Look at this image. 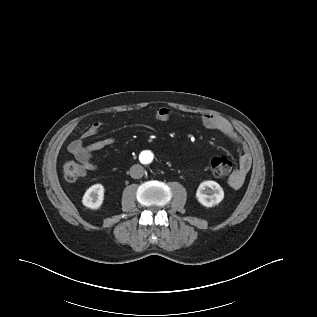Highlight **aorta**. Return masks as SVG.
Returning a JSON list of instances; mask_svg holds the SVG:
<instances>
[{"label":"aorta","mask_w":317,"mask_h":317,"mask_svg":"<svg viewBox=\"0 0 317 317\" xmlns=\"http://www.w3.org/2000/svg\"><path fill=\"white\" fill-rule=\"evenodd\" d=\"M140 160L146 166H151L154 162L153 154L152 153H143L140 156Z\"/></svg>","instance_id":"1"}]
</instances>
